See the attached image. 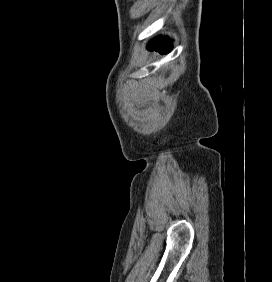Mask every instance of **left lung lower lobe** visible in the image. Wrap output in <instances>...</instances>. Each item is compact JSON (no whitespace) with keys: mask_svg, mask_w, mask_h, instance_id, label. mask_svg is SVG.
I'll return each instance as SVG.
<instances>
[{"mask_svg":"<svg viewBox=\"0 0 272 282\" xmlns=\"http://www.w3.org/2000/svg\"><path fill=\"white\" fill-rule=\"evenodd\" d=\"M148 49L156 50L164 54L172 49V45L170 44L169 38L160 36L158 39H154L149 43Z\"/></svg>","mask_w":272,"mask_h":282,"instance_id":"0a47b994","label":"left lung lower lobe"}]
</instances>
